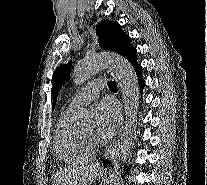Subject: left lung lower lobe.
Listing matches in <instances>:
<instances>
[{"label":"left lung lower lobe","instance_id":"1","mask_svg":"<svg viewBox=\"0 0 207 185\" xmlns=\"http://www.w3.org/2000/svg\"><path fill=\"white\" fill-rule=\"evenodd\" d=\"M135 69V72L137 74V77H138V81H139V85H140V90L142 91L144 86H145V81L141 75V66L138 64L137 66L134 67Z\"/></svg>","mask_w":207,"mask_h":185}]
</instances>
